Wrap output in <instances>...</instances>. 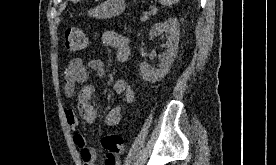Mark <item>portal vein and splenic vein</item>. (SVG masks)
<instances>
[{
	"label": "portal vein and splenic vein",
	"instance_id": "1",
	"mask_svg": "<svg viewBox=\"0 0 276 165\" xmlns=\"http://www.w3.org/2000/svg\"><path fill=\"white\" fill-rule=\"evenodd\" d=\"M149 18V14L148 13H143V15L140 17L141 21H145Z\"/></svg>",
	"mask_w": 276,
	"mask_h": 165
}]
</instances>
